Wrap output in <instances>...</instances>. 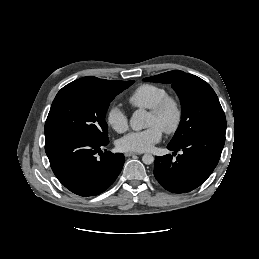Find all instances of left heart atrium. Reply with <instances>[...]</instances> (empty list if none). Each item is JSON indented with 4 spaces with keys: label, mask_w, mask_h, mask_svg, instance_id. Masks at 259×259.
Masks as SVG:
<instances>
[{
    "label": "left heart atrium",
    "mask_w": 259,
    "mask_h": 259,
    "mask_svg": "<svg viewBox=\"0 0 259 259\" xmlns=\"http://www.w3.org/2000/svg\"><path fill=\"white\" fill-rule=\"evenodd\" d=\"M161 137L162 129L157 125H151L144 130L128 133L119 139L117 145L122 151L141 153L151 150Z\"/></svg>",
    "instance_id": "obj_1"
}]
</instances>
